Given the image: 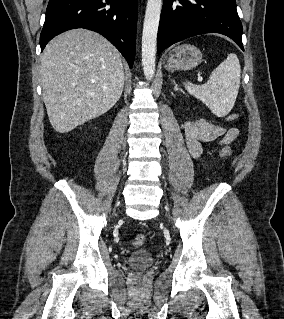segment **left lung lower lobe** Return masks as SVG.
I'll list each match as a JSON object with an SVG mask.
<instances>
[{"instance_id": "left-lung-lower-lobe-1", "label": "left lung lower lobe", "mask_w": 284, "mask_h": 319, "mask_svg": "<svg viewBox=\"0 0 284 319\" xmlns=\"http://www.w3.org/2000/svg\"><path fill=\"white\" fill-rule=\"evenodd\" d=\"M242 32L235 0H164L157 52L204 33L224 34L244 50Z\"/></svg>"}]
</instances>
